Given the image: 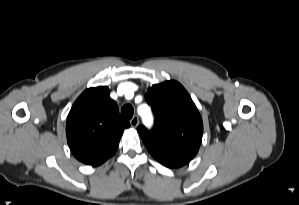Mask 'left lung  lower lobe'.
Masks as SVG:
<instances>
[{"label":"left lung lower lobe","mask_w":299,"mask_h":205,"mask_svg":"<svg viewBox=\"0 0 299 205\" xmlns=\"http://www.w3.org/2000/svg\"><path fill=\"white\" fill-rule=\"evenodd\" d=\"M146 147L159 163L169 168H178L189 163L199 150L197 146L180 143Z\"/></svg>","instance_id":"left-lung-lower-lobe-1"}]
</instances>
